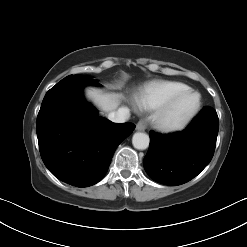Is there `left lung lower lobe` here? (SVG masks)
Segmentation results:
<instances>
[{"label":"left lung lower lobe","mask_w":247,"mask_h":247,"mask_svg":"<svg viewBox=\"0 0 247 247\" xmlns=\"http://www.w3.org/2000/svg\"><path fill=\"white\" fill-rule=\"evenodd\" d=\"M216 111L209 106L182 132L160 135L151 131L144 158L147 174L165 185H181L197 176L211 161L218 135Z\"/></svg>","instance_id":"1"}]
</instances>
